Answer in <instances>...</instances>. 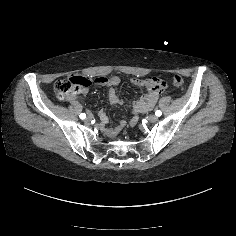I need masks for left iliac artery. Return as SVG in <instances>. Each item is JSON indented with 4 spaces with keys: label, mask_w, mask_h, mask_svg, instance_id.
Returning <instances> with one entry per match:
<instances>
[{
    "label": "left iliac artery",
    "mask_w": 236,
    "mask_h": 236,
    "mask_svg": "<svg viewBox=\"0 0 236 236\" xmlns=\"http://www.w3.org/2000/svg\"><path fill=\"white\" fill-rule=\"evenodd\" d=\"M155 115L159 117L162 115V112L160 110H156Z\"/></svg>",
    "instance_id": "1"
}]
</instances>
